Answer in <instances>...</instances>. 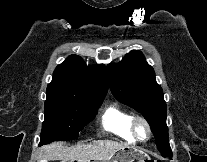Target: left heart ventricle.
<instances>
[{
  "label": "left heart ventricle",
  "instance_id": "obj_1",
  "mask_svg": "<svg viewBox=\"0 0 207 162\" xmlns=\"http://www.w3.org/2000/svg\"><path fill=\"white\" fill-rule=\"evenodd\" d=\"M137 135L141 139H144L146 136V129L142 124H140L137 128Z\"/></svg>",
  "mask_w": 207,
  "mask_h": 162
}]
</instances>
